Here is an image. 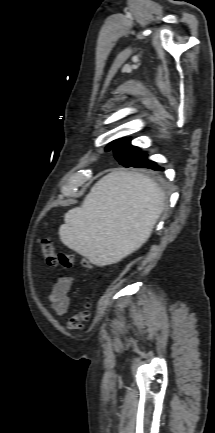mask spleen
<instances>
[{
  "label": "spleen",
  "mask_w": 215,
  "mask_h": 433,
  "mask_svg": "<svg viewBox=\"0 0 215 433\" xmlns=\"http://www.w3.org/2000/svg\"><path fill=\"white\" fill-rule=\"evenodd\" d=\"M164 201L154 180L115 170L94 185L81 207L65 214L60 239L95 265L116 263L149 238Z\"/></svg>",
  "instance_id": "spleen-1"
}]
</instances>
